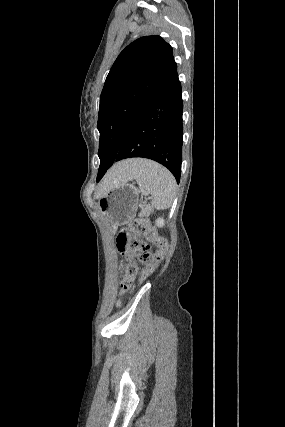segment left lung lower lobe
<instances>
[{
    "label": "left lung lower lobe",
    "mask_w": 285,
    "mask_h": 427,
    "mask_svg": "<svg viewBox=\"0 0 285 427\" xmlns=\"http://www.w3.org/2000/svg\"><path fill=\"white\" fill-rule=\"evenodd\" d=\"M182 111L181 83L176 65L131 121L115 161L132 157L152 159L168 168L179 183Z\"/></svg>",
    "instance_id": "1"
}]
</instances>
